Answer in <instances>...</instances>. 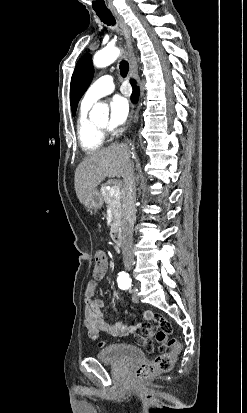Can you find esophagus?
Here are the masks:
<instances>
[{"mask_svg": "<svg viewBox=\"0 0 247 413\" xmlns=\"http://www.w3.org/2000/svg\"><path fill=\"white\" fill-rule=\"evenodd\" d=\"M112 13H113L114 17L117 19V21H118V23L121 27V30H122L125 38L127 39V46H128L130 56H131L130 62H129L130 75L137 79L138 78V64H137V58H136L135 53H134L130 28L128 27V25L123 20V17H121V15L118 12L112 11ZM132 113H133V110H132ZM133 120H134L133 117H131L130 120H129V127L132 126ZM129 130H130V128H129Z\"/></svg>", "mask_w": 247, "mask_h": 413, "instance_id": "esophagus-1", "label": "esophagus"}]
</instances>
